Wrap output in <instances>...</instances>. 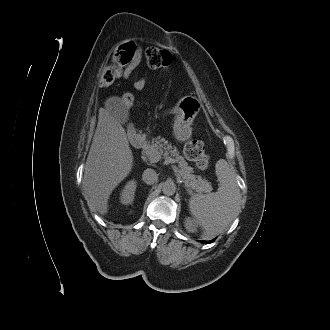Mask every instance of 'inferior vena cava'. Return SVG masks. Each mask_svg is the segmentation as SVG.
Here are the masks:
<instances>
[{"instance_id":"602c4592","label":"inferior vena cava","mask_w":330,"mask_h":330,"mask_svg":"<svg viewBox=\"0 0 330 330\" xmlns=\"http://www.w3.org/2000/svg\"><path fill=\"white\" fill-rule=\"evenodd\" d=\"M142 180L148 184L152 185L158 180V174L153 169H146L142 174Z\"/></svg>"}]
</instances>
